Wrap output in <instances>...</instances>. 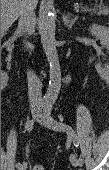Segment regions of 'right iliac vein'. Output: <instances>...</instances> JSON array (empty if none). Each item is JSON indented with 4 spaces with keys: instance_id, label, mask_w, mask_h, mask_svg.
Listing matches in <instances>:
<instances>
[{
    "instance_id": "1",
    "label": "right iliac vein",
    "mask_w": 109,
    "mask_h": 170,
    "mask_svg": "<svg viewBox=\"0 0 109 170\" xmlns=\"http://www.w3.org/2000/svg\"><path fill=\"white\" fill-rule=\"evenodd\" d=\"M32 116L35 118L37 117V111L36 110H33L32 111ZM27 168V163L26 162H23L17 169L18 170H26Z\"/></svg>"
}]
</instances>
